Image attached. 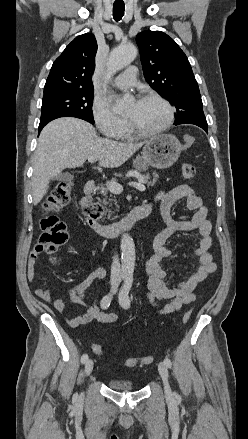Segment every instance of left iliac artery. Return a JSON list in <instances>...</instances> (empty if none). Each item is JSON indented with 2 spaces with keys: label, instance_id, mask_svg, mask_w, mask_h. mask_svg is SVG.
Wrapping results in <instances>:
<instances>
[{
  "label": "left iliac artery",
  "instance_id": "obj_1",
  "mask_svg": "<svg viewBox=\"0 0 248 439\" xmlns=\"http://www.w3.org/2000/svg\"><path fill=\"white\" fill-rule=\"evenodd\" d=\"M132 282H133V275L132 274L126 275L124 285L121 288V291L119 294V303L125 309H128L130 307V298H129L128 294H129V291L131 289ZM164 364L168 368H171V366H172L171 360L167 357L164 359Z\"/></svg>",
  "mask_w": 248,
  "mask_h": 439
}]
</instances>
